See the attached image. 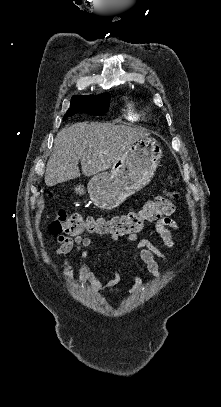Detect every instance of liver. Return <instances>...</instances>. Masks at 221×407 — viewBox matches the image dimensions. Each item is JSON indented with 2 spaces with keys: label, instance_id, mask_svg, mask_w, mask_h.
<instances>
[{
  "label": "liver",
  "instance_id": "liver-1",
  "mask_svg": "<svg viewBox=\"0 0 221 407\" xmlns=\"http://www.w3.org/2000/svg\"><path fill=\"white\" fill-rule=\"evenodd\" d=\"M141 128L101 122H79L62 128L54 139L53 151L47 162L45 183H58L89 177L106 171L137 140L148 136Z\"/></svg>",
  "mask_w": 221,
  "mask_h": 407
}]
</instances>
